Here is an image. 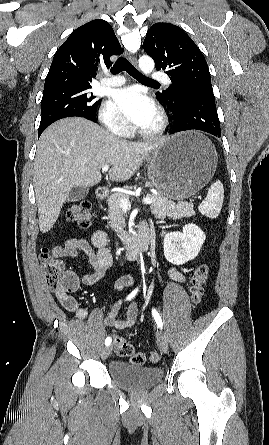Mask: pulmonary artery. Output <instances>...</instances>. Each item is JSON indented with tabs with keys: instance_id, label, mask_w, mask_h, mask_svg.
<instances>
[{
	"instance_id": "obj_1",
	"label": "pulmonary artery",
	"mask_w": 269,
	"mask_h": 445,
	"mask_svg": "<svg viewBox=\"0 0 269 445\" xmlns=\"http://www.w3.org/2000/svg\"><path fill=\"white\" fill-rule=\"evenodd\" d=\"M152 78L164 82L165 84H171L170 78L163 73H154ZM125 80L121 76H110L100 80V84L106 87H116L124 84Z\"/></svg>"
}]
</instances>
